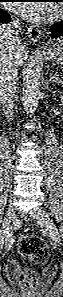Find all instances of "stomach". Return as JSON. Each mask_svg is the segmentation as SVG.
<instances>
[{
  "instance_id": "obj_1",
  "label": "stomach",
  "mask_w": 63,
  "mask_h": 297,
  "mask_svg": "<svg viewBox=\"0 0 63 297\" xmlns=\"http://www.w3.org/2000/svg\"><path fill=\"white\" fill-rule=\"evenodd\" d=\"M47 57L53 62L63 64V39L56 41L47 50Z\"/></svg>"
}]
</instances>
